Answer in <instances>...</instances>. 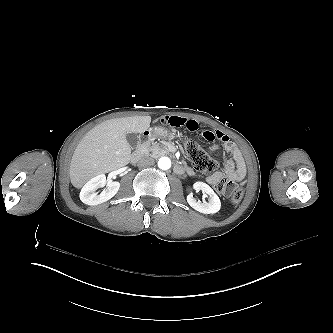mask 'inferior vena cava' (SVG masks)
<instances>
[{
    "label": "inferior vena cava",
    "instance_id": "602c4592",
    "mask_svg": "<svg viewBox=\"0 0 333 333\" xmlns=\"http://www.w3.org/2000/svg\"><path fill=\"white\" fill-rule=\"evenodd\" d=\"M155 164V160L152 157H142L137 165L139 167H147V166H152Z\"/></svg>",
    "mask_w": 333,
    "mask_h": 333
}]
</instances>
